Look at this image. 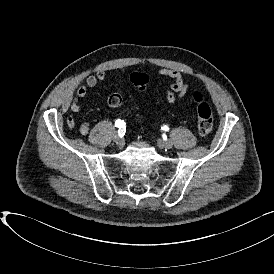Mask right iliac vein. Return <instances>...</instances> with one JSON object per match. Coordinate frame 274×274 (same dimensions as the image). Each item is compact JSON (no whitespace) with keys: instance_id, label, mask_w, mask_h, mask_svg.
Listing matches in <instances>:
<instances>
[{"instance_id":"right-iliac-vein-1","label":"right iliac vein","mask_w":274,"mask_h":274,"mask_svg":"<svg viewBox=\"0 0 274 274\" xmlns=\"http://www.w3.org/2000/svg\"><path fill=\"white\" fill-rule=\"evenodd\" d=\"M113 141H114L117 145H119V146L123 145V142H124L123 139L120 138V136L117 135V134H115V135L113 136Z\"/></svg>"}]
</instances>
